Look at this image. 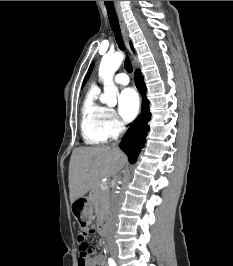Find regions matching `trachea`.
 Listing matches in <instances>:
<instances>
[{"label":"trachea","instance_id":"obj_1","mask_svg":"<svg viewBox=\"0 0 233 266\" xmlns=\"http://www.w3.org/2000/svg\"><path fill=\"white\" fill-rule=\"evenodd\" d=\"M107 13H108V18H109V23L111 26V29L115 35L117 44L121 50H125L124 42L122 39L121 31H120V26L118 22V18L115 12V8L113 5V1H104ZM124 67L127 72L131 73L133 71L132 64L130 62V59L128 55H126L125 62H124Z\"/></svg>","mask_w":233,"mask_h":266}]
</instances>
